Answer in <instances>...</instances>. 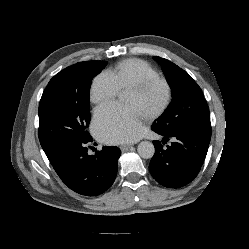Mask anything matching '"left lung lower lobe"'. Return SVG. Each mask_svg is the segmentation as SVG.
<instances>
[{
  "mask_svg": "<svg viewBox=\"0 0 249 249\" xmlns=\"http://www.w3.org/2000/svg\"><path fill=\"white\" fill-rule=\"evenodd\" d=\"M151 129L164 137L163 144L170 137L175 140L167 147H163L160 141H153L155 154L149 164L153 178L169 188H179L190 183L199 173L206 157L211 131L168 136L158 131L154 126Z\"/></svg>",
  "mask_w": 249,
  "mask_h": 249,
  "instance_id": "obj_1",
  "label": "left lung lower lobe"
}]
</instances>
